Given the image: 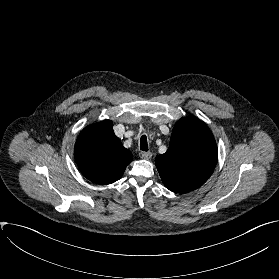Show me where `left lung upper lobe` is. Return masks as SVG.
<instances>
[{"label":"left lung upper lobe","mask_w":279,"mask_h":279,"mask_svg":"<svg viewBox=\"0 0 279 279\" xmlns=\"http://www.w3.org/2000/svg\"><path fill=\"white\" fill-rule=\"evenodd\" d=\"M217 145L208 126L194 116L174 126L166 153L156 158L165 186L175 193H187L202 186L217 162Z\"/></svg>","instance_id":"1"}]
</instances>
